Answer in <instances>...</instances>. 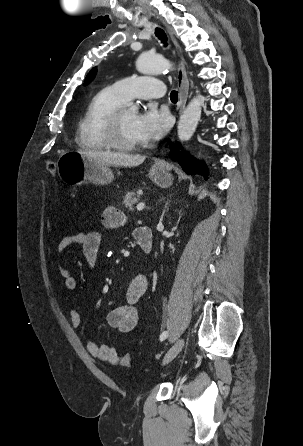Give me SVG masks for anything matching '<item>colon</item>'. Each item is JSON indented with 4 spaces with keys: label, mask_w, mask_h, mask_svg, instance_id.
Returning <instances> with one entry per match:
<instances>
[{
    "label": "colon",
    "mask_w": 303,
    "mask_h": 446,
    "mask_svg": "<svg viewBox=\"0 0 303 446\" xmlns=\"http://www.w3.org/2000/svg\"><path fill=\"white\" fill-rule=\"evenodd\" d=\"M46 165H47V169L50 172V174L55 175L57 173L56 165L54 164V162L47 161ZM119 362L124 367H130V365H131V356H130V354L129 353H125V354L121 355V357L119 358Z\"/></svg>",
    "instance_id": "obj_1"
}]
</instances>
